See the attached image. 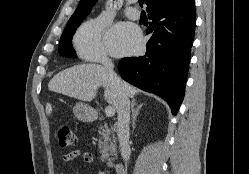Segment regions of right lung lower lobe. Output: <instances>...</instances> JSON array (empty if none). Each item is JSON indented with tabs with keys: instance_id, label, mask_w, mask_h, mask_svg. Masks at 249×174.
I'll return each instance as SVG.
<instances>
[{
	"instance_id": "obj_1",
	"label": "right lung lower lobe",
	"mask_w": 249,
	"mask_h": 174,
	"mask_svg": "<svg viewBox=\"0 0 249 174\" xmlns=\"http://www.w3.org/2000/svg\"><path fill=\"white\" fill-rule=\"evenodd\" d=\"M153 33L144 56L123 58L121 77L140 89L157 94L176 114L184 97L190 51L195 31V0H180L148 14Z\"/></svg>"
}]
</instances>
